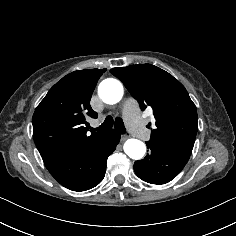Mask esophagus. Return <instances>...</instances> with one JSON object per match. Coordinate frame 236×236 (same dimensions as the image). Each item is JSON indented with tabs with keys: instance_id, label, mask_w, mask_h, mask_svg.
Wrapping results in <instances>:
<instances>
[{
	"instance_id": "34e87169",
	"label": "esophagus",
	"mask_w": 236,
	"mask_h": 236,
	"mask_svg": "<svg viewBox=\"0 0 236 236\" xmlns=\"http://www.w3.org/2000/svg\"><path fill=\"white\" fill-rule=\"evenodd\" d=\"M130 137L129 134L125 133V134H121V141H125L126 139H128Z\"/></svg>"
}]
</instances>
